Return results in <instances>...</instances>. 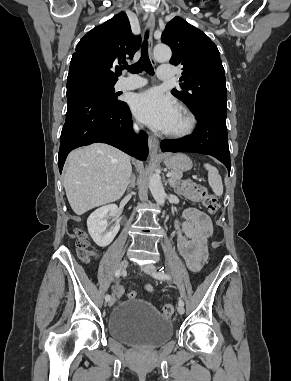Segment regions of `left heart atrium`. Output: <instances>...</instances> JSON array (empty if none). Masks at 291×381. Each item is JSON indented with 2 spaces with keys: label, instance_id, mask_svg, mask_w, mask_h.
I'll list each match as a JSON object with an SVG mask.
<instances>
[{
  "label": "left heart atrium",
  "instance_id": "1",
  "mask_svg": "<svg viewBox=\"0 0 291 381\" xmlns=\"http://www.w3.org/2000/svg\"><path fill=\"white\" fill-rule=\"evenodd\" d=\"M131 109L141 122L160 131L170 130L179 113L175 100L156 88L134 95Z\"/></svg>",
  "mask_w": 291,
  "mask_h": 381
}]
</instances>
